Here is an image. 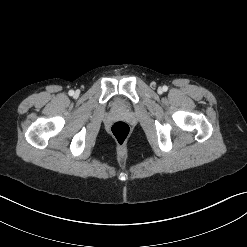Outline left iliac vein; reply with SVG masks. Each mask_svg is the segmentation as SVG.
<instances>
[{"instance_id": "4c4485c4", "label": "left iliac vein", "mask_w": 247, "mask_h": 247, "mask_svg": "<svg viewBox=\"0 0 247 247\" xmlns=\"http://www.w3.org/2000/svg\"><path fill=\"white\" fill-rule=\"evenodd\" d=\"M163 89L161 87L158 88V93H162Z\"/></svg>"}]
</instances>
